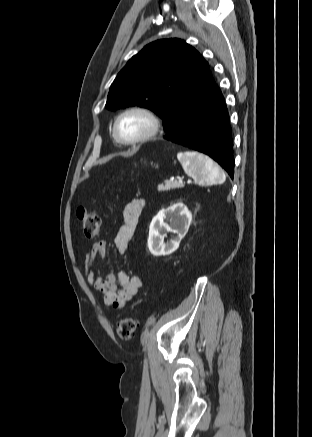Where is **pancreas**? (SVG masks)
Masks as SVG:
<instances>
[{"mask_svg":"<svg viewBox=\"0 0 312 437\" xmlns=\"http://www.w3.org/2000/svg\"><path fill=\"white\" fill-rule=\"evenodd\" d=\"M184 184L179 183L177 181H166L165 184L158 185V191H169L177 188H183Z\"/></svg>","mask_w":312,"mask_h":437,"instance_id":"pancreas-1","label":"pancreas"}]
</instances>
